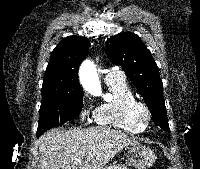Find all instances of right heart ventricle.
<instances>
[{
  "label": "right heart ventricle",
  "instance_id": "obj_1",
  "mask_svg": "<svg viewBox=\"0 0 200 169\" xmlns=\"http://www.w3.org/2000/svg\"><path fill=\"white\" fill-rule=\"evenodd\" d=\"M105 83L111 98L95 110V122L130 133H141L144 128L138 125L131 116V105L137 101V98L125 78L116 77L105 80Z\"/></svg>",
  "mask_w": 200,
  "mask_h": 169
}]
</instances>
